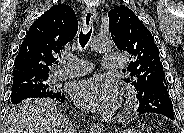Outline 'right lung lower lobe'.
Listing matches in <instances>:
<instances>
[{
    "mask_svg": "<svg viewBox=\"0 0 184 133\" xmlns=\"http://www.w3.org/2000/svg\"><path fill=\"white\" fill-rule=\"evenodd\" d=\"M32 98H50V99L57 100V101L62 102V103L65 101L64 93L59 91V92L54 93V94H52L51 96H48V97H22V98L14 99L12 102L15 103V104H18L22 101L30 100Z\"/></svg>",
    "mask_w": 184,
    "mask_h": 133,
    "instance_id": "1",
    "label": "right lung lower lobe"
}]
</instances>
